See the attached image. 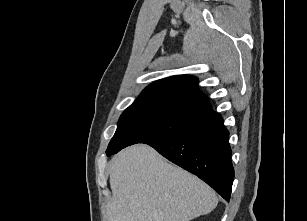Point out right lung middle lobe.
Segmentation results:
<instances>
[{
    "label": "right lung middle lobe",
    "instance_id": "right-lung-middle-lobe-1",
    "mask_svg": "<svg viewBox=\"0 0 307 221\" xmlns=\"http://www.w3.org/2000/svg\"><path fill=\"white\" fill-rule=\"evenodd\" d=\"M211 110L182 102L137 101L121 115L107 156L136 143H150L192 126Z\"/></svg>",
    "mask_w": 307,
    "mask_h": 221
}]
</instances>
